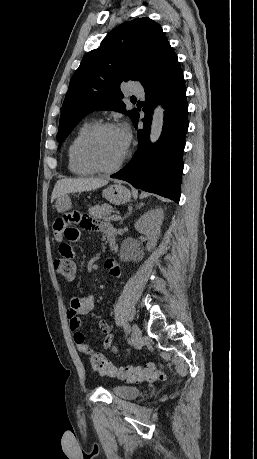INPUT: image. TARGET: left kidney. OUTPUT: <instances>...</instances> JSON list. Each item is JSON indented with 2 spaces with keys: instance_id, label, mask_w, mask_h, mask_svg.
Masks as SVG:
<instances>
[{
  "instance_id": "obj_1",
  "label": "left kidney",
  "mask_w": 257,
  "mask_h": 459,
  "mask_svg": "<svg viewBox=\"0 0 257 459\" xmlns=\"http://www.w3.org/2000/svg\"><path fill=\"white\" fill-rule=\"evenodd\" d=\"M164 219V211L161 208L149 210L135 223V229L147 236L148 251L155 248L161 233V225Z\"/></svg>"
}]
</instances>
